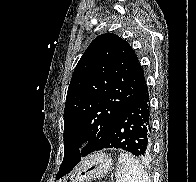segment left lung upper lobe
Returning <instances> with one entry per match:
<instances>
[{
	"mask_svg": "<svg viewBox=\"0 0 196 182\" xmlns=\"http://www.w3.org/2000/svg\"><path fill=\"white\" fill-rule=\"evenodd\" d=\"M145 84L138 57L121 37L105 33L96 37L79 60L69 84L64 109V158L83 141L82 156L104 141L122 111ZM78 163L63 162L56 178Z\"/></svg>",
	"mask_w": 196,
	"mask_h": 182,
	"instance_id": "obj_1",
	"label": "left lung upper lobe"
}]
</instances>
